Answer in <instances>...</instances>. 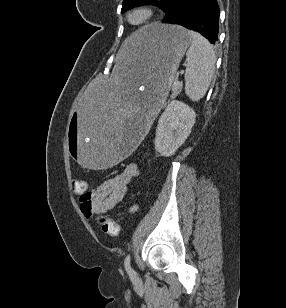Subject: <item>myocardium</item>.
<instances>
[{"mask_svg":"<svg viewBox=\"0 0 286 308\" xmlns=\"http://www.w3.org/2000/svg\"><path fill=\"white\" fill-rule=\"evenodd\" d=\"M135 13H142L144 15L143 19L140 22H133L131 20V17ZM154 16H155V10L153 9V7L148 5H143L130 10L127 14V21L133 26L142 27L150 23L154 18Z\"/></svg>","mask_w":286,"mask_h":308,"instance_id":"1","label":"myocardium"}]
</instances>
